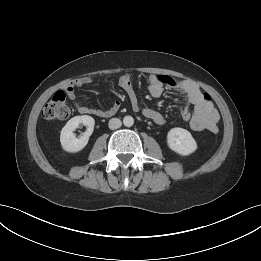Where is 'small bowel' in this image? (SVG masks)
I'll use <instances>...</instances> for the list:
<instances>
[{"label":"small bowel","instance_id":"obj_1","mask_svg":"<svg viewBox=\"0 0 261 261\" xmlns=\"http://www.w3.org/2000/svg\"><path fill=\"white\" fill-rule=\"evenodd\" d=\"M91 82V78L84 77L75 83L68 85L65 92L70 100L74 101L75 107L81 114H93L97 116H110L114 114L120 107L119 102H115L109 109L101 110L87 107L76 101L74 92L75 87H81ZM119 86L127 93L132 109L139 110V103L132 86L131 77L128 74L122 75L118 80ZM165 89H171L183 94L187 102L193 106L194 111L191 114L188 106L182 111L189 115L190 127L194 131L208 130L217 132L219 114L214 107L210 97L201 92L197 85L189 81H178L168 76L151 75L149 77L148 91L152 97H160ZM142 114L157 124H163L165 119L161 113L151 108H144ZM184 119V118H183ZM186 121V120H185Z\"/></svg>","mask_w":261,"mask_h":261}]
</instances>
